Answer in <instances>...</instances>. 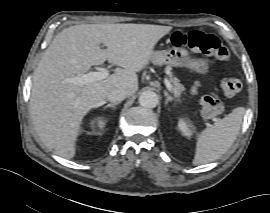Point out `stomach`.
I'll use <instances>...</instances> for the list:
<instances>
[{"mask_svg": "<svg viewBox=\"0 0 270 213\" xmlns=\"http://www.w3.org/2000/svg\"><path fill=\"white\" fill-rule=\"evenodd\" d=\"M150 60L159 66L186 67L201 75H206L209 71V63L206 59L193 58L185 48L179 46L153 51Z\"/></svg>", "mask_w": 270, "mask_h": 213, "instance_id": "stomach-1", "label": "stomach"}]
</instances>
